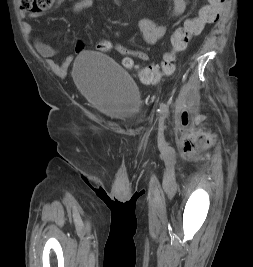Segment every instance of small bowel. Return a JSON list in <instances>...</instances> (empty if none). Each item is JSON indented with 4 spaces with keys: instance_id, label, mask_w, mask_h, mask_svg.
I'll list each match as a JSON object with an SVG mask.
<instances>
[{
    "instance_id": "c3829d8e",
    "label": "small bowel",
    "mask_w": 253,
    "mask_h": 267,
    "mask_svg": "<svg viewBox=\"0 0 253 267\" xmlns=\"http://www.w3.org/2000/svg\"><path fill=\"white\" fill-rule=\"evenodd\" d=\"M62 1V0H59ZM109 1V0H108ZM116 4H121V0H110ZM94 4V0H78L72 7L74 13H81ZM189 6V0H172V7L169 12L170 17H178L182 15ZM32 17L37 16L32 14ZM140 31L143 35L144 41L149 45H155L167 32V25L154 21L149 17H143L139 22ZM24 32L27 36L31 33V25L29 23L23 24ZM34 46L36 50L48 61L53 62V59L59 54V50L41 39H35ZM84 50L82 42L76 44V52L80 53ZM73 57L68 56L63 62L61 69L65 70L72 62Z\"/></svg>"
}]
</instances>
